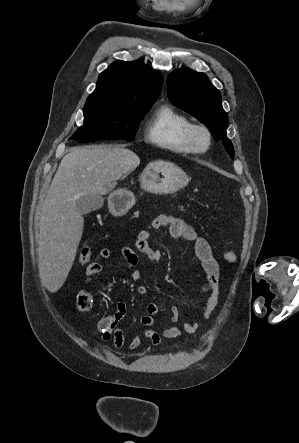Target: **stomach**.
Instances as JSON below:
<instances>
[{
    "label": "stomach",
    "mask_w": 299,
    "mask_h": 443,
    "mask_svg": "<svg viewBox=\"0 0 299 443\" xmlns=\"http://www.w3.org/2000/svg\"><path fill=\"white\" fill-rule=\"evenodd\" d=\"M187 183V175L172 163H151L140 175L141 188L154 194H171L185 187ZM134 203L133 194L124 189H117L108 197L109 210L115 216L125 214Z\"/></svg>",
    "instance_id": "0dacf381"
}]
</instances>
